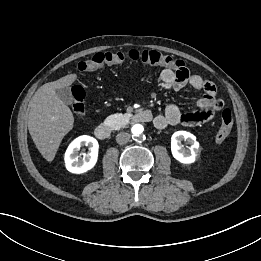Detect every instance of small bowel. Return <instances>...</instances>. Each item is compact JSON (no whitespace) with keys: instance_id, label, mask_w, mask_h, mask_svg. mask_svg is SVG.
I'll use <instances>...</instances> for the list:
<instances>
[{"instance_id":"c3829d8e","label":"small bowel","mask_w":261,"mask_h":261,"mask_svg":"<svg viewBox=\"0 0 261 261\" xmlns=\"http://www.w3.org/2000/svg\"><path fill=\"white\" fill-rule=\"evenodd\" d=\"M159 78L164 90L178 92L189 85L193 89L203 92V96L197 103L199 111L182 113L176 105H166L164 113L157 115L153 121L154 126L159 130L180 124L196 126L208 122L223 108V101L217 96V89L214 83L198 74L190 75L185 67L175 71L168 68L163 69Z\"/></svg>"}]
</instances>
